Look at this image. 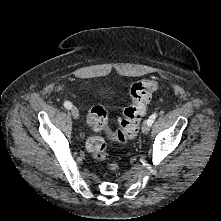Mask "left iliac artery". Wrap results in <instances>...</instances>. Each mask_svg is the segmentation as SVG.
I'll return each instance as SVG.
<instances>
[{
  "label": "left iliac artery",
  "instance_id": "obj_1",
  "mask_svg": "<svg viewBox=\"0 0 221 221\" xmlns=\"http://www.w3.org/2000/svg\"><path fill=\"white\" fill-rule=\"evenodd\" d=\"M156 117H157V114H156V113L152 114V115L149 117L148 123L150 124V126L153 124V122L155 121Z\"/></svg>",
  "mask_w": 221,
  "mask_h": 221
}]
</instances>
